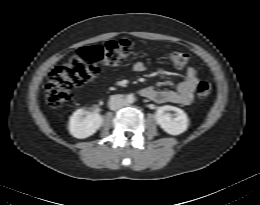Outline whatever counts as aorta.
<instances>
[{
	"label": "aorta",
	"mask_w": 260,
	"mask_h": 205,
	"mask_svg": "<svg viewBox=\"0 0 260 205\" xmlns=\"http://www.w3.org/2000/svg\"><path fill=\"white\" fill-rule=\"evenodd\" d=\"M135 101V97L133 94H128L125 98V102L127 104H132Z\"/></svg>",
	"instance_id": "1"
}]
</instances>
